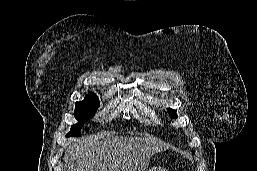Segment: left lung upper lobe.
<instances>
[{"label": "left lung upper lobe", "mask_w": 257, "mask_h": 171, "mask_svg": "<svg viewBox=\"0 0 257 171\" xmlns=\"http://www.w3.org/2000/svg\"><path fill=\"white\" fill-rule=\"evenodd\" d=\"M168 111H169L174 117H177V114H176L175 110L169 108Z\"/></svg>", "instance_id": "obj_1"}]
</instances>
